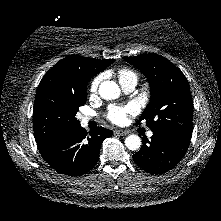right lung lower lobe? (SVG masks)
<instances>
[{
  "label": "right lung lower lobe",
  "mask_w": 221,
  "mask_h": 221,
  "mask_svg": "<svg viewBox=\"0 0 221 221\" xmlns=\"http://www.w3.org/2000/svg\"><path fill=\"white\" fill-rule=\"evenodd\" d=\"M110 136L112 131L103 127L87 133L79 125L39 146L38 149L42 157L57 172L81 176L96 165L101 144Z\"/></svg>",
  "instance_id": "obj_1"
}]
</instances>
